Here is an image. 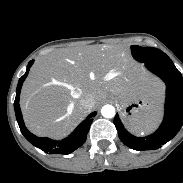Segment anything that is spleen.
Segmentation results:
<instances>
[{
	"label": "spleen",
	"mask_w": 183,
	"mask_h": 183,
	"mask_svg": "<svg viewBox=\"0 0 183 183\" xmlns=\"http://www.w3.org/2000/svg\"><path fill=\"white\" fill-rule=\"evenodd\" d=\"M162 118V111L160 108L147 114L141 121L136 123H131V129L137 135H142L144 133H150L157 125L160 123Z\"/></svg>",
	"instance_id": "1"
}]
</instances>
